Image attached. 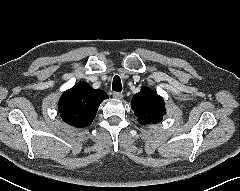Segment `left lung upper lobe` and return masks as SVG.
<instances>
[{"mask_svg":"<svg viewBox=\"0 0 240 191\" xmlns=\"http://www.w3.org/2000/svg\"><path fill=\"white\" fill-rule=\"evenodd\" d=\"M131 108L142 125L158 123L166 114L162 97L148 87H143L139 93L133 96Z\"/></svg>","mask_w":240,"mask_h":191,"instance_id":"obj_1","label":"left lung upper lobe"}]
</instances>
